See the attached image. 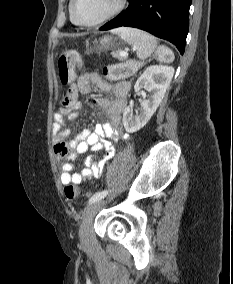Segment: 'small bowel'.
<instances>
[{"label": "small bowel", "instance_id": "small-bowel-1", "mask_svg": "<svg viewBox=\"0 0 233 284\" xmlns=\"http://www.w3.org/2000/svg\"><path fill=\"white\" fill-rule=\"evenodd\" d=\"M92 84L105 92H111L112 98L95 97L93 102L106 114V121L96 125L94 129H84L72 140H67L70 130L64 128L65 119L75 120L79 116L81 103L78 99L80 93H89ZM129 84L120 82L112 86L103 81L96 73H85L79 77L67 92L58 112L54 116L53 138L56 157L62 162L60 167V180L66 186L78 185L82 181L97 178L103 172L108 161L115 156V148L111 140L119 138L128 140L129 135L121 127V115L126 106V95ZM88 150H105L106 155L101 161L95 162L88 158V165L80 172H72L73 161L77 156Z\"/></svg>", "mask_w": 233, "mask_h": 284}]
</instances>
